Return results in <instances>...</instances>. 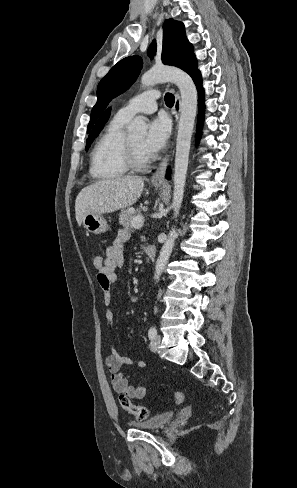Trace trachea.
I'll return each mask as SVG.
<instances>
[{
	"mask_svg": "<svg viewBox=\"0 0 297 488\" xmlns=\"http://www.w3.org/2000/svg\"><path fill=\"white\" fill-rule=\"evenodd\" d=\"M174 101H175V98L171 93L165 94V103L167 106H169V107L173 106Z\"/></svg>",
	"mask_w": 297,
	"mask_h": 488,
	"instance_id": "1",
	"label": "trachea"
}]
</instances>
